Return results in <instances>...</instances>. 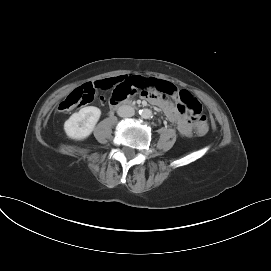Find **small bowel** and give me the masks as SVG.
<instances>
[{
	"instance_id": "c3829d8e",
	"label": "small bowel",
	"mask_w": 271,
	"mask_h": 271,
	"mask_svg": "<svg viewBox=\"0 0 271 271\" xmlns=\"http://www.w3.org/2000/svg\"><path fill=\"white\" fill-rule=\"evenodd\" d=\"M82 87H91L96 92L113 88L112 102H127L131 93L133 97L145 98L149 103L160 107L168 119L177 125L182 135L188 137L192 134V121L170 101L171 95L179 101V93L169 81L156 79L154 76H117L88 82Z\"/></svg>"
}]
</instances>
